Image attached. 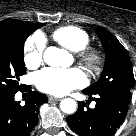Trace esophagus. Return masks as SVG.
Listing matches in <instances>:
<instances>
[{
	"label": "esophagus",
	"mask_w": 136,
	"mask_h": 136,
	"mask_svg": "<svg viewBox=\"0 0 136 136\" xmlns=\"http://www.w3.org/2000/svg\"><path fill=\"white\" fill-rule=\"evenodd\" d=\"M48 99H49V101H55V102H58V101L61 100L60 98H56V97H53V96H48Z\"/></svg>",
	"instance_id": "esophagus-1"
}]
</instances>
